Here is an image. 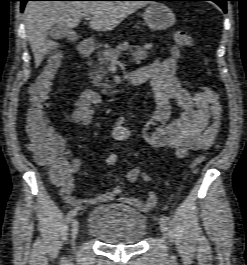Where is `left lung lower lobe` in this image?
Returning <instances> with one entry per match:
<instances>
[{
    "mask_svg": "<svg viewBox=\"0 0 247 265\" xmlns=\"http://www.w3.org/2000/svg\"><path fill=\"white\" fill-rule=\"evenodd\" d=\"M151 1H213L216 4H218L223 11L226 13L227 9H226V2L229 0H151Z\"/></svg>",
    "mask_w": 247,
    "mask_h": 265,
    "instance_id": "0a47b994",
    "label": "left lung lower lobe"
}]
</instances>
